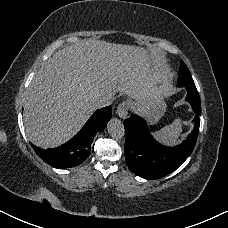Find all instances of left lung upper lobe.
I'll use <instances>...</instances> for the list:
<instances>
[{"mask_svg": "<svg viewBox=\"0 0 228 228\" xmlns=\"http://www.w3.org/2000/svg\"><path fill=\"white\" fill-rule=\"evenodd\" d=\"M188 81L194 82L191 77L189 69L187 68L184 62H181V66L179 70L178 86L184 87V85Z\"/></svg>", "mask_w": 228, "mask_h": 228, "instance_id": "left-lung-upper-lobe-1", "label": "left lung upper lobe"}]
</instances>
